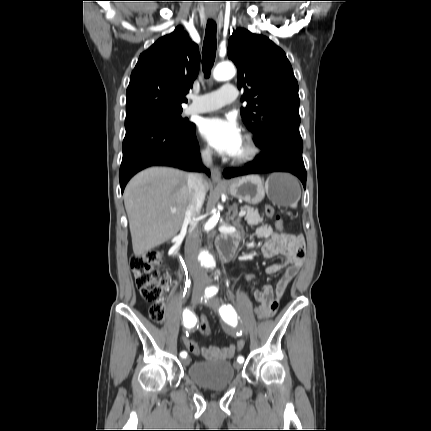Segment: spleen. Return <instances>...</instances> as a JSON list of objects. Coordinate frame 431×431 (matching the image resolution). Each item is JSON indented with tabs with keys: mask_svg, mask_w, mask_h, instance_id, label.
Returning a JSON list of instances; mask_svg holds the SVG:
<instances>
[{
	"mask_svg": "<svg viewBox=\"0 0 431 431\" xmlns=\"http://www.w3.org/2000/svg\"><path fill=\"white\" fill-rule=\"evenodd\" d=\"M292 206H293V207H296V206H297V203H294Z\"/></svg>",
	"mask_w": 431,
	"mask_h": 431,
	"instance_id": "obj_1",
	"label": "spleen"
}]
</instances>
